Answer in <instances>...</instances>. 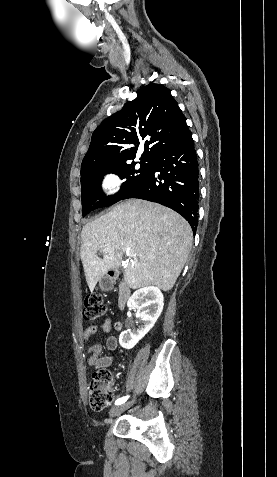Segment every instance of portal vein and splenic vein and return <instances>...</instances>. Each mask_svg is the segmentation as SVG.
<instances>
[{
	"label": "portal vein and splenic vein",
	"instance_id": "portal-vein-and-splenic-vein-1",
	"mask_svg": "<svg viewBox=\"0 0 277 477\" xmlns=\"http://www.w3.org/2000/svg\"><path fill=\"white\" fill-rule=\"evenodd\" d=\"M127 254L129 257L136 258V253L130 248L127 250Z\"/></svg>",
	"mask_w": 277,
	"mask_h": 477
}]
</instances>
